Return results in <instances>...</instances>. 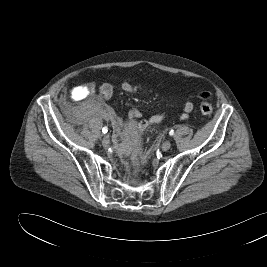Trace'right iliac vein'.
Listing matches in <instances>:
<instances>
[{
	"label": "right iliac vein",
	"mask_w": 267,
	"mask_h": 267,
	"mask_svg": "<svg viewBox=\"0 0 267 267\" xmlns=\"http://www.w3.org/2000/svg\"><path fill=\"white\" fill-rule=\"evenodd\" d=\"M110 143V139H109V135H104L103 139H102V144L106 147L108 146Z\"/></svg>",
	"instance_id": "right-iliac-vein-1"
}]
</instances>
